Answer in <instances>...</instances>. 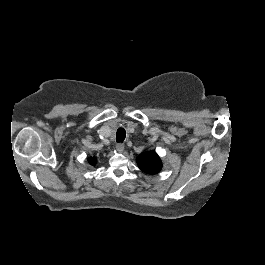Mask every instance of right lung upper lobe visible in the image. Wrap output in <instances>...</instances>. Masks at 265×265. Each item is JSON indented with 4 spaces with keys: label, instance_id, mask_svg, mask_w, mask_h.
Segmentation results:
<instances>
[{
    "label": "right lung upper lobe",
    "instance_id": "cb5924a9",
    "mask_svg": "<svg viewBox=\"0 0 265 265\" xmlns=\"http://www.w3.org/2000/svg\"><path fill=\"white\" fill-rule=\"evenodd\" d=\"M88 160H89L91 165H95V163H96V158L95 157H90Z\"/></svg>",
    "mask_w": 265,
    "mask_h": 265
}]
</instances>
